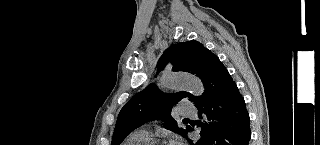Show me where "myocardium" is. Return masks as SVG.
Listing matches in <instances>:
<instances>
[{
    "label": "myocardium",
    "mask_w": 320,
    "mask_h": 145,
    "mask_svg": "<svg viewBox=\"0 0 320 145\" xmlns=\"http://www.w3.org/2000/svg\"><path fill=\"white\" fill-rule=\"evenodd\" d=\"M163 143L161 141L158 140H151L149 142H147L145 145H162Z\"/></svg>",
    "instance_id": "obj_1"
}]
</instances>
